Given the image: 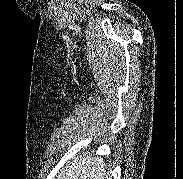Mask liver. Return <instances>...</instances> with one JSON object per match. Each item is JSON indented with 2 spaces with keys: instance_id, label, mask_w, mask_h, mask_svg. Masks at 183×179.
Listing matches in <instances>:
<instances>
[{
  "instance_id": "6515ba94",
  "label": "liver",
  "mask_w": 183,
  "mask_h": 179,
  "mask_svg": "<svg viewBox=\"0 0 183 179\" xmlns=\"http://www.w3.org/2000/svg\"><path fill=\"white\" fill-rule=\"evenodd\" d=\"M56 179H111L100 157L77 155L67 161Z\"/></svg>"
}]
</instances>
